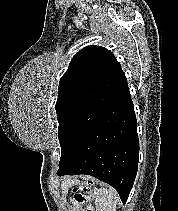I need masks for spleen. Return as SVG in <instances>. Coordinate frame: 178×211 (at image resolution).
Returning <instances> with one entry per match:
<instances>
[{
  "instance_id": "3e777b00",
  "label": "spleen",
  "mask_w": 178,
  "mask_h": 211,
  "mask_svg": "<svg viewBox=\"0 0 178 211\" xmlns=\"http://www.w3.org/2000/svg\"><path fill=\"white\" fill-rule=\"evenodd\" d=\"M118 193L113 188H99L96 193V211H116Z\"/></svg>"
}]
</instances>
